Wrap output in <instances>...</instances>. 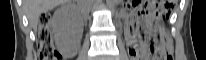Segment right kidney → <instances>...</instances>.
Segmentation results:
<instances>
[{
	"instance_id": "right-kidney-1",
	"label": "right kidney",
	"mask_w": 206,
	"mask_h": 60,
	"mask_svg": "<svg viewBox=\"0 0 206 60\" xmlns=\"http://www.w3.org/2000/svg\"><path fill=\"white\" fill-rule=\"evenodd\" d=\"M55 39L59 47L67 48L74 44L80 32V24L74 9H60L54 14Z\"/></svg>"
}]
</instances>
